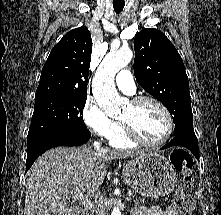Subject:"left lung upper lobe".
Returning <instances> with one entry per match:
<instances>
[{
	"instance_id": "5c2ea615",
	"label": "left lung upper lobe",
	"mask_w": 221,
	"mask_h": 215,
	"mask_svg": "<svg viewBox=\"0 0 221 215\" xmlns=\"http://www.w3.org/2000/svg\"><path fill=\"white\" fill-rule=\"evenodd\" d=\"M134 49L136 81L169 110L176 135L194 133L189 81L174 45L161 31L143 29Z\"/></svg>"
}]
</instances>
